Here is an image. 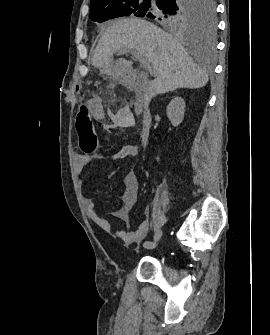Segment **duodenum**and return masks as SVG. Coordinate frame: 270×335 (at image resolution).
Listing matches in <instances>:
<instances>
[{
    "label": "duodenum",
    "mask_w": 270,
    "mask_h": 335,
    "mask_svg": "<svg viewBox=\"0 0 270 335\" xmlns=\"http://www.w3.org/2000/svg\"><path fill=\"white\" fill-rule=\"evenodd\" d=\"M151 124H152L151 114L148 110H145L141 122V138L143 143H146L148 141Z\"/></svg>",
    "instance_id": "410a0bca"
}]
</instances>
